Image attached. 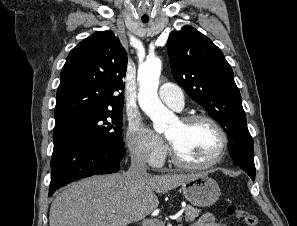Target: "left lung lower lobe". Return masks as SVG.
<instances>
[{
    "mask_svg": "<svg viewBox=\"0 0 297 226\" xmlns=\"http://www.w3.org/2000/svg\"><path fill=\"white\" fill-rule=\"evenodd\" d=\"M234 164L242 168L252 178V180H255V165L253 163H250V164L234 163Z\"/></svg>",
    "mask_w": 297,
    "mask_h": 226,
    "instance_id": "left-lung-lower-lobe-1",
    "label": "left lung lower lobe"
}]
</instances>
